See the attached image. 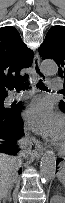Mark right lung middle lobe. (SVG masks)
I'll return each instance as SVG.
<instances>
[{
  "mask_svg": "<svg viewBox=\"0 0 65 203\" xmlns=\"http://www.w3.org/2000/svg\"><path fill=\"white\" fill-rule=\"evenodd\" d=\"M3 103H4V98L0 97V111H7V110H9V108H4L3 107Z\"/></svg>",
  "mask_w": 65,
  "mask_h": 203,
  "instance_id": "right-lung-middle-lobe-1",
  "label": "right lung middle lobe"
}]
</instances>
